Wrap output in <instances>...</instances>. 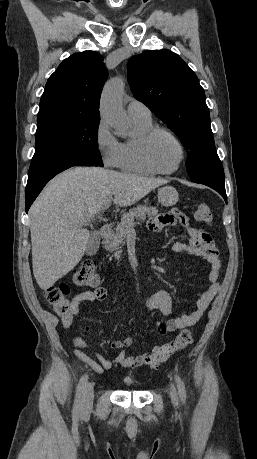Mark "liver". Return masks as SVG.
<instances>
[{"instance_id":"6515ba94","label":"liver","mask_w":257,"mask_h":459,"mask_svg":"<svg viewBox=\"0 0 257 459\" xmlns=\"http://www.w3.org/2000/svg\"><path fill=\"white\" fill-rule=\"evenodd\" d=\"M168 180L99 167H74L52 179L30 208L33 274L43 290L53 286L82 259L90 233L85 226L108 198L135 204Z\"/></svg>"}]
</instances>
